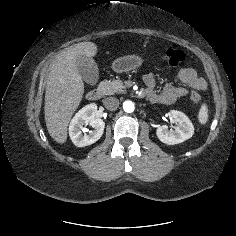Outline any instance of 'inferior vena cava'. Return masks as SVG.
Segmentation results:
<instances>
[{"label": "inferior vena cava", "instance_id": "602c4592", "mask_svg": "<svg viewBox=\"0 0 236 236\" xmlns=\"http://www.w3.org/2000/svg\"><path fill=\"white\" fill-rule=\"evenodd\" d=\"M103 104L108 110H116L119 106V100L116 97H108L103 100Z\"/></svg>", "mask_w": 236, "mask_h": 236}]
</instances>
